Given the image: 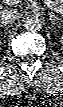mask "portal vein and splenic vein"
I'll return each mask as SVG.
<instances>
[{
    "mask_svg": "<svg viewBox=\"0 0 63 107\" xmlns=\"http://www.w3.org/2000/svg\"><path fill=\"white\" fill-rule=\"evenodd\" d=\"M4 3L11 5V4H14L15 1L14 0H5ZM44 3L51 10H54L57 13L63 14V9L57 8L51 0H44Z\"/></svg>",
    "mask_w": 63,
    "mask_h": 107,
    "instance_id": "18ae733b",
    "label": "portal vein and splenic vein"
}]
</instances>
